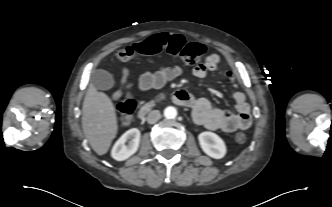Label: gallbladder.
<instances>
[{
	"label": "gallbladder",
	"mask_w": 332,
	"mask_h": 207,
	"mask_svg": "<svg viewBox=\"0 0 332 207\" xmlns=\"http://www.w3.org/2000/svg\"><path fill=\"white\" fill-rule=\"evenodd\" d=\"M91 83L98 90H109L113 88L115 81L109 72L99 69L93 72Z\"/></svg>",
	"instance_id": "1"
}]
</instances>
